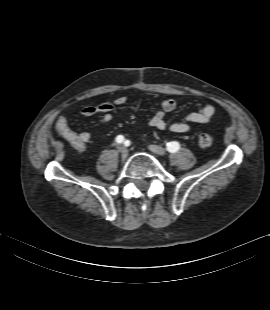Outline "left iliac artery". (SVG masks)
Here are the masks:
<instances>
[{"label":"left iliac artery","instance_id":"44dca946","mask_svg":"<svg viewBox=\"0 0 270 310\" xmlns=\"http://www.w3.org/2000/svg\"><path fill=\"white\" fill-rule=\"evenodd\" d=\"M167 150L171 153H174L180 149V144L176 141L167 143Z\"/></svg>","mask_w":270,"mask_h":310}]
</instances>
